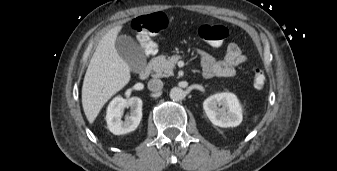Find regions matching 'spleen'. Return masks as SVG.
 Returning <instances> with one entry per match:
<instances>
[{
	"label": "spleen",
	"instance_id": "1",
	"mask_svg": "<svg viewBox=\"0 0 337 171\" xmlns=\"http://www.w3.org/2000/svg\"><path fill=\"white\" fill-rule=\"evenodd\" d=\"M258 119V116H254L253 121L256 122Z\"/></svg>",
	"mask_w": 337,
	"mask_h": 171
}]
</instances>
